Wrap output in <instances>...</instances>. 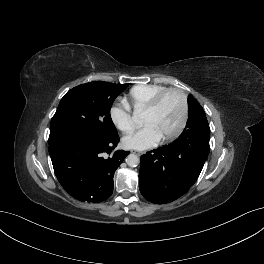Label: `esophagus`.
Listing matches in <instances>:
<instances>
[{
	"mask_svg": "<svg viewBox=\"0 0 264 264\" xmlns=\"http://www.w3.org/2000/svg\"><path fill=\"white\" fill-rule=\"evenodd\" d=\"M132 153L137 154L138 156H141L143 153L142 152H136V151H132Z\"/></svg>",
	"mask_w": 264,
	"mask_h": 264,
	"instance_id": "esophagus-1",
	"label": "esophagus"
}]
</instances>
